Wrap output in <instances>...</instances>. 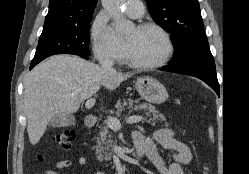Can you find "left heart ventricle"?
I'll list each match as a JSON object with an SVG mask.
<instances>
[{
    "mask_svg": "<svg viewBox=\"0 0 249 174\" xmlns=\"http://www.w3.org/2000/svg\"><path fill=\"white\" fill-rule=\"evenodd\" d=\"M125 56L128 60L151 63L161 60L167 53V43L156 30H131L124 38Z\"/></svg>",
    "mask_w": 249,
    "mask_h": 174,
    "instance_id": "obj_1",
    "label": "left heart ventricle"
}]
</instances>
